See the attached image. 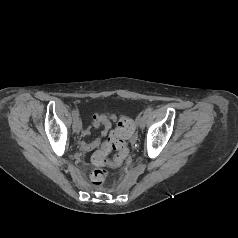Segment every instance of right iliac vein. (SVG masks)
Listing matches in <instances>:
<instances>
[{
  "label": "right iliac vein",
  "mask_w": 238,
  "mask_h": 238,
  "mask_svg": "<svg viewBox=\"0 0 238 238\" xmlns=\"http://www.w3.org/2000/svg\"><path fill=\"white\" fill-rule=\"evenodd\" d=\"M82 128V122L79 118H74L73 119V130L76 133H79Z\"/></svg>",
  "instance_id": "right-iliac-vein-1"
}]
</instances>
